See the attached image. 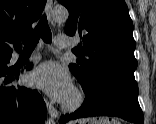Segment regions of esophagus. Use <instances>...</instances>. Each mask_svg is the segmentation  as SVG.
<instances>
[{
  "label": "esophagus",
  "mask_w": 156,
  "mask_h": 124,
  "mask_svg": "<svg viewBox=\"0 0 156 124\" xmlns=\"http://www.w3.org/2000/svg\"><path fill=\"white\" fill-rule=\"evenodd\" d=\"M52 6H53V1L47 0L46 12H47V17L50 23H52V18H51ZM46 107L50 116L54 119H58L59 117L58 111L49 101H46Z\"/></svg>",
  "instance_id": "1"
}]
</instances>
